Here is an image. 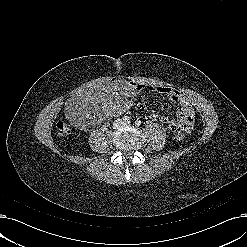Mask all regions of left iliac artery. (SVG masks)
I'll return each instance as SVG.
<instances>
[{
	"label": "left iliac artery",
	"instance_id": "44dca946",
	"mask_svg": "<svg viewBox=\"0 0 247 247\" xmlns=\"http://www.w3.org/2000/svg\"><path fill=\"white\" fill-rule=\"evenodd\" d=\"M135 124H136L137 126H139V125L141 124V121H138V120H137V121L135 122Z\"/></svg>",
	"mask_w": 247,
	"mask_h": 247
}]
</instances>
